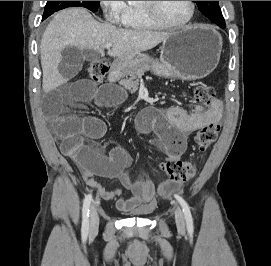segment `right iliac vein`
Listing matches in <instances>:
<instances>
[{"mask_svg": "<svg viewBox=\"0 0 271 266\" xmlns=\"http://www.w3.org/2000/svg\"><path fill=\"white\" fill-rule=\"evenodd\" d=\"M99 228V216L96 203H93L89 211V235L93 237L97 234Z\"/></svg>", "mask_w": 271, "mask_h": 266, "instance_id": "63e3f726", "label": "right iliac vein"}]
</instances>
